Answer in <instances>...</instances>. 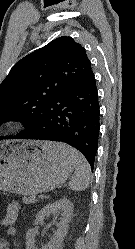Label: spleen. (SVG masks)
<instances>
[{"instance_id": "spleen-1", "label": "spleen", "mask_w": 135, "mask_h": 249, "mask_svg": "<svg viewBox=\"0 0 135 249\" xmlns=\"http://www.w3.org/2000/svg\"><path fill=\"white\" fill-rule=\"evenodd\" d=\"M56 149L73 163L75 172L69 182V188L74 191H82L88 188L91 169L84 156L74 148L63 143H56Z\"/></svg>"}]
</instances>
